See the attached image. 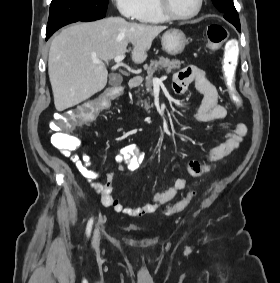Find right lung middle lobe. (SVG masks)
Segmentation results:
<instances>
[{
    "mask_svg": "<svg viewBox=\"0 0 280 283\" xmlns=\"http://www.w3.org/2000/svg\"><path fill=\"white\" fill-rule=\"evenodd\" d=\"M108 0H52L48 27L63 21H94L105 17Z\"/></svg>",
    "mask_w": 280,
    "mask_h": 283,
    "instance_id": "right-lung-middle-lobe-1",
    "label": "right lung middle lobe"
}]
</instances>
